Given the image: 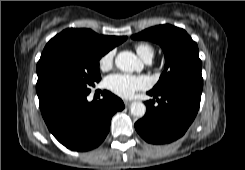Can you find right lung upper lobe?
I'll return each mask as SVG.
<instances>
[{
	"instance_id": "right-lung-upper-lobe-1",
	"label": "right lung upper lobe",
	"mask_w": 245,
	"mask_h": 170,
	"mask_svg": "<svg viewBox=\"0 0 245 170\" xmlns=\"http://www.w3.org/2000/svg\"><path fill=\"white\" fill-rule=\"evenodd\" d=\"M127 39L126 36L98 35L90 29L69 28L52 38L48 44H64L105 55Z\"/></svg>"
}]
</instances>
